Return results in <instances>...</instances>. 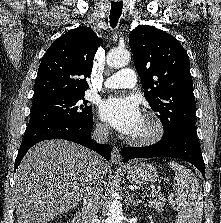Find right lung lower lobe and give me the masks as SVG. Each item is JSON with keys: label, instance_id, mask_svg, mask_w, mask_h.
<instances>
[{"label": "right lung lower lobe", "instance_id": "right-lung-lower-lobe-1", "mask_svg": "<svg viewBox=\"0 0 221 223\" xmlns=\"http://www.w3.org/2000/svg\"><path fill=\"white\" fill-rule=\"evenodd\" d=\"M92 127V120L84 123L52 120L27 127L15 160V169L18 167L29 148L40 141L48 139H65L76 142L97 151L109 160L111 155L109 145L98 144L90 138Z\"/></svg>", "mask_w": 221, "mask_h": 223}]
</instances>
